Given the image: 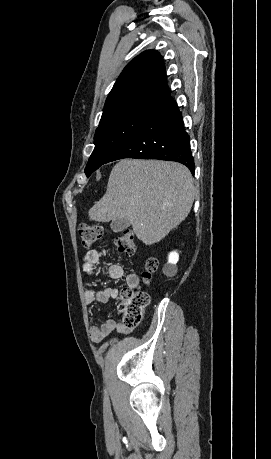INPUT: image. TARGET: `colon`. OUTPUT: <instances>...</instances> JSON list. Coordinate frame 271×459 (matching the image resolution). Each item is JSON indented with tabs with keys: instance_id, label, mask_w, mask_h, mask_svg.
I'll list each match as a JSON object with an SVG mask.
<instances>
[{
	"instance_id": "5ec220e1",
	"label": "colon",
	"mask_w": 271,
	"mask_h": 459,
	"mask_svg": "<svg viewBox=\"0 0 271 459\" xmlns=\"http://www.w3.org/2000/svg\"><path fill=\"white\" fill-rule=\"evenodd\" d=\"M161 3L164 0H152ZM102 228L98 225L81 224L78 227V236L84 247H90L98 242L102 237ZM115 249L118 253L131 256L135 253L134 235L131 230L122 231L114 241ZM158 261L149 258L146 263V270L143 279L148 282L151 274L157 269ZM150 301L149 295L144 290H133L125 288L121 292V303L119 311L123 314L124 324L128 327L137 326L142 318L146 307Z\"/></svg>"
}]
</instances>
